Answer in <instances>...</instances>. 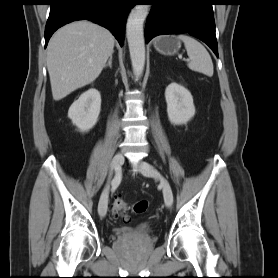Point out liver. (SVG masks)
Here are the masks:
<instances>
[{
  "mask_svg": "<svg viewBox=\"0 0 278 278\" xmlns=\"http://www.w3.org/2000/svg\"><path fill=\"white\" fill-rule=\"evenodd\" d=\"M114 36L90 21H76L60 28L47 47V69L52 96L59 101L101 73L113 53Z\"/></svg>",
  "mask_w": 278,
  "mask_h": 278,
  "instance_id": "6515ba94",
  "label": "liver"
}]
</instances>
